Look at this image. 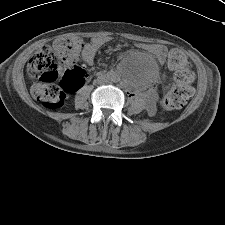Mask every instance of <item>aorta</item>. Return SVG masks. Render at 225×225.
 <instances>
[{"mask_svg": "<svg viewBox=\"0 0 225 225\" xmlns=\"http://www.w3.org/2000/svg\"><path fill=\"white\" fill-rule=\"evenodd\" d=\"M111 81L117 82V81H119V79L116 76H113V77H111Z\"/></svg>", "mask_w": 225, "mask_h": 225, "instance_id": "obj_1", "label": "aorta"}]
</instances>
